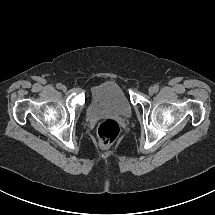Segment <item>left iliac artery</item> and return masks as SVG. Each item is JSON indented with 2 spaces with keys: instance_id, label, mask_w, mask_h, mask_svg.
Wrapping results in <instances>:
<instances>
[{
  "instance_id": "44dca946",
  "label": "left iliac artery",
  "mask_w": 215,
  "mask_h": 215,
  "mask_svg": "<svg viewBox=\"0 0 215 215\" xmlns=\"http://www.w3.org/2000/svg\"><path fill=\"white\" fill-rule=\"evenodd\" d=\"M154 88H155L156 91H158L159 86H158V85H155Z\"/></svg>"
}]
</instances>
